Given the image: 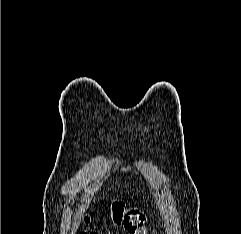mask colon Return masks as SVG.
<instances>
[{
    "mask_svg": "<svg viewBox=\"0 0 241 234\" xmlns=\"http://www.w3.org/2000/svg\"><path fill=\"white\" fill-rule=\"evenodd\" d=\"M111 215L112 220L116 224L123 225L129 234H150L146 217L138 209H126L122 203H114Z\"/></svg>",
    "mask_w": 241,
    "mask_h": 234,
    "instance_id": "1",
    "label": "colon"
}]
</instances>
